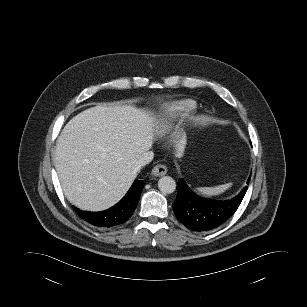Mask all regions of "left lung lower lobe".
<instances>
[{"mask_svg":"<svg viewBox=\"0 0 307 307\" xmlns=\"http://www.w3.org/2000/svg\"><path fill=\"white\" fill-rule=\"evenodd\" d=\"M250 182V177L247 184ZM247 187L232 199L216 201L193 193L182 178L177 185L173 210L177 219L193 231H207L226 222L238 209Z\"/></svg>","mask_w":307,"mask_h":307,"instance_id":"obj_1","label":"left lung lower lobe"}]
</instances>
